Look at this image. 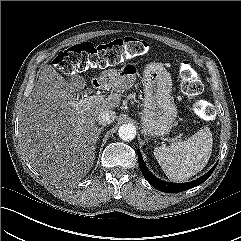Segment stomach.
Masks as SVG:
<instances>
[{
    "label": "stomach",
    "mask_w": 241,
    "mask_h": 241,
    "mask_svg": "<svg viewBox=\"0 0 241 241\" xmlns=\"http://www.w3.org/2000/svg\"><path fill=\"white\" fill-rule=\"evenodd\" d=\"M136 76L133 66H124L118 72L104 74L107 81L114 79L121 88L131 84ZM144 102L142 110V133L146 136H163L170 132L177 117V108L171 96L170 73L159 64L148 65L143 72Z\"/></svg>",
    "instance_id": "1"
}]
</instances>
